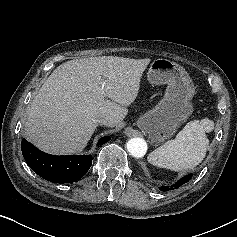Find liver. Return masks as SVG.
Here are the masks:
<instances>
[{
  "instance_id": "6515ba94",
  "label": "liver",
  "mask_w": 237,
  "mask_h": 237,
  "mask_svg": "<svg viewBox=\"0 0 237 237\" xmlns=\"http://www.w3.org/2000/svg\"><path fill=\"white\" fill-rule=\"evenodd\" d=\"M150 62L101 56L61 64L47 78L27 111L25 137L48 153L80 152L98 126V116H110L113 122L106 125L109 127L123 121Z\"/></svg>"
}]
</instances>
